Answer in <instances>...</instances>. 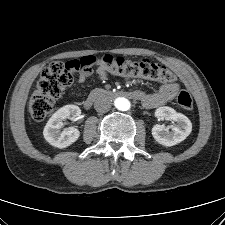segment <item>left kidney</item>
Returning <instances> with one entry per match:
<instances>
[{
	"mask_svg": "<svg viewBox=\"0 0 225 225\" xmlns=\"http://www.w3.org/2000/svg\"><path fill=\"white\" fill-rule=\"evenodd\" d=\"M155 116L158 119H167L176 122L175 126L169 128L163 125L156 124L152 128L154 139L164 145L173 146L186 139L192 131L191 121L183 114L176 112L174 109L164 106L155 111Z\"/></svg>",
	"mask_w": 225,
	"mask_h": 225,
	"instance_id": "left-kidney-1",
	"label": "left kidney"
}]
</instances>
